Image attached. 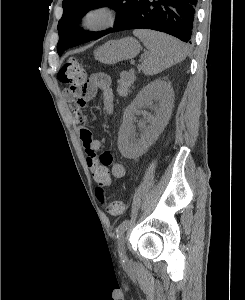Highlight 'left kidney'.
Masks as SVG:
<instances>
[{
	"instance_id": "5707ae66",
	"label": "left kidney",
	"mask_w": 245,
	"mask_h": 300,
	"mask_svg": "<svg viewBox=\"0 0 245 300\" xmlns=\"http://www.w3.org/2000/svg\"><path fill=\"white\" fill-rule=\"evenodd\" d=\"M173 98L171 86L159 79L149 83L137 94L124 112L123 124L119 131L118 146L124 156H138L152 144L167 123L172 111ZM148 105H153L154 115H148L150 126L141 128L138 137L133 126L135 113Z\"/></svg>"
}]
</instances>
